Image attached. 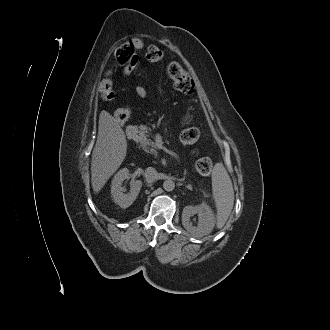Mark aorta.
<instances>
[{"label": "aorta", "instance_id": "obj_1", "mask_svg": "<svg viewBox=\"0 0 330 330\" xmlns=\"http://www.w3.org/2000/svg\"><path fill=\"white\" fill-rule=\"evenodd\" d=\"M163 188L164 190L170 192V191H173L174 188H175V183L174 181L168 179V180H165L164 183H163Z\"/></svg>", "mask_w": 330, "mask_h": 330}]
</instances>
